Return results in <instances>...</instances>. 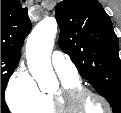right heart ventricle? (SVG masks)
<instances>
[{"instance_id":"right-heart-ventricle-1","label":"right heart ventricle","mask_w":121,"mask_h":113,"mask_svg":"<svg viewBox=\"0 0 121 113\" xmlns=\"http://www.w3.org/2000/svg\"><path fill=\"white\" fill-rule=\"evenodd\" d=\"M63 86H80L79 79L77 77L68 78L59 76ZM32 113H59L54 105L53 98L49 93H41V98L38 105L32 110Z\"/></svg>"}]
</instances>
